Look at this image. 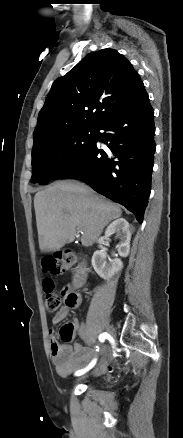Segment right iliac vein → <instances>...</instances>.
Here are the masks:
<instances>
[{
	"instance_id": "right-iliac-vein-1",
	"label": "right iliac vein",
	"mask_w": 183,
	"mask_h": 438,
	"mask_svg": "<svg viewBox=\"0 0 183 438\" xmlns=\"http://www.w3.org/2000/svg\"><path fill=\"white\" fill-rule=\"evenodd\" d=\"M107 332L111 337H115V332H114V329L112 327H108ZM94 373H96V372H94ZM83 378H85V376L80 377L78 380H81Z\"/></svg>"
}]
</instances>
